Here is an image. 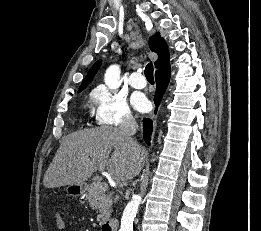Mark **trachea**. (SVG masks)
Returning a JSON list of instances; mask_svg holds the SVG:
<instances>
[{"mask_svg": "<svg viewBox=\"0 0 261 231\" xmlns=\"http://www.w3.org/2000/svg\"><path fill=\"white\" fill-rule=\"evenodd\" d=\"M144 73H145V77L148 81H154L153 64L152 63L147 64Z\"/></svg>", "mask_w": 261, "mask_h": 231, "instance_id": "3493384b", "label": "trachea"}]
</instances>
